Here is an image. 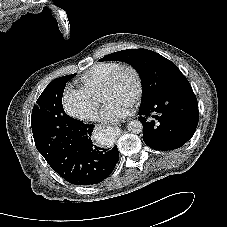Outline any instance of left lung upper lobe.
<instances>
[{
    "instance_id": "1",
    "label": "left lung upper lobe",
    "mask_w": 227,
    "mask_h": 227,
    "mask_svg": "<svg viewBox=\"0 0 227 227\" xmlns=\"http://www.w3.org/2000/svg\"><path fill=\"white\" fill-rule=\"evenodd\" d=\"M100 61H122L137 70L143 84L141 104L152 102L174 92L192 89L175 64L147 49L114 52L104 56Z\"/></svg>"
}]
</instances>
